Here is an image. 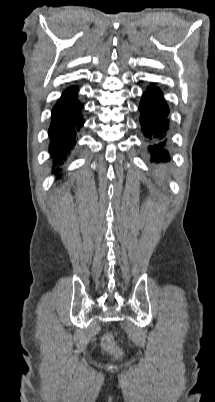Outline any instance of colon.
Listing matches in <instances>:
<instances>
[{
	"mask_svg": "<svg viewBox=\"0 0 215 402\" xmlns=\"http://www.w3.org/2000/svg\"><path fill=\"white\" fill-rule=\"evenodd\" d=\"M102 347L111 354L114 355H119L120 354V349L118 346L115 344L113 336L111 333L107 332L103 335L102 340H101Z\"/></svg>",
	"mask_w": 215,
	"mask_h": 402,
	"instance_id": "5ec220e1",
	"label": "colon"
}]
</instances>
